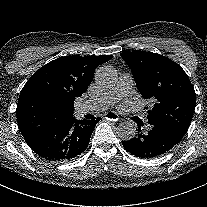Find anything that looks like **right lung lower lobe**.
Here are the masks:
<instances>
[{"label":"right lung lower lobe","instance_id":"obj_1","mask_svg":"<svg viewBox=\"0 0 207 207\" xmlns=\"http://www.w3.org/2000/svg\"><path fill=\"white\" fill-rule=\"evenodd\" d=\"M72 118L34 139L26 141L40 157L52 162H63L80 155L87 148L94 127L99 121Z\"/></svg>","mask_w":207,"mask_h":207}]
</instances>
